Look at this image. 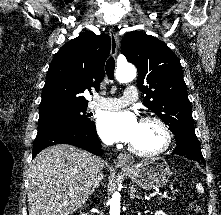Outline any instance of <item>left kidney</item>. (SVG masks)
I'll use <instances>...</instances> for the list:
<instances>
[{
  "instance_id": "obj_1",
  "label": "left kidney",
  "mask_w": 221,
  "mask_h": 215,
  "mask_svg": "<svg viewBox=\"0 0 221 215\" xmlns=\"http://www.w3.org/2000/svg\"><path fill=\"white\" fill-rule=\"evenodd\" d=\"M155 215H166L162 210L156 211Z\"/></svg>"
}]
</instances>
